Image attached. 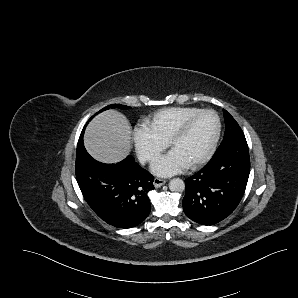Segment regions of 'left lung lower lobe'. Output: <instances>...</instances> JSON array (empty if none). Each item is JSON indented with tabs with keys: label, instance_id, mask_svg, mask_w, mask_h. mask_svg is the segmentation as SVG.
Listing matches in <instances>:
<instances>
[{
	"label": "left lung lower lobe",
	"instance_id": "1",
	"mask_svg": "<svg viewBox=\"0 0 298 298\" xmlns=\"http://www.w3.org/2000/svg\"><path fill=\"white\" fill-rule=\"evenodd\" d=\"M250 158L245 138L217 150L209 163L185 180L183 210L202 225L216 224L239 204L249 177Z\"/></svg>",
	"mask_w": 298,
	"mask_h": 298
}]
</instances>
